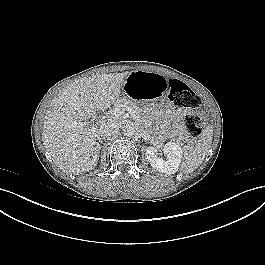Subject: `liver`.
<instances>
[{
    "instance_id": "liver-1",
    "label": "liver",
    "mask_w": 265,
    "mask_h": 265,
    "mask_svg": "<svg viewBox=\"0 0 265 265\" xmlns=\"http://www.w3.org/2000/svg\"><path fill=\"white\" fill-rule=\"evenodd\" d=\"M128 72L83 78L52 100L43 123L42 139L53 162L67 174L92 170L100 153L99 129L86 122L119 97ZM82 122L79 127L72 123ZM85 121V122H84Z\"/></svg>"
}]
</instances>
